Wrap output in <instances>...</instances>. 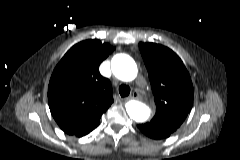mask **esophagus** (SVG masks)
I'll return each instance as SVG.
<instances>
[{
  "label": "esophagus",
  "mask_w": 240,
  "mask_h": 160,
  "mask_svg": "<svg viewBox=\"0 0 240 160\" xmlns=\"http://www.w3.org/2000/svg\"><path fill=\"white\" fill-rule=\"evenodd\" d=\"M140 98V94L138 91H133L132 94L130 95L129 99H139Z\"/></svg>",
  "instance_id": "esophagus-1"
}]
</instances>
